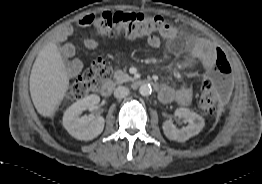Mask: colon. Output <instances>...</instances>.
I'll list each match as a JSON object with an SVG mask.
<instances>
[{"mask_svg":"<svg viewBox=\"0 0 262 184\" xmlns=\"http://www.w3.org/2000/svg\"><path fill=\"white\" fill-rule=\"evenodd\" d=\"M82 26H93L101 37H118L133 40L142 36L159 34L169 25L161 16H148L143 13L103 12L89 14L80 20ZM214 69L216 76L211 81H203L199 87V107L208 115L219 113L226 105L231 90V66L220 49H216ZM108 63L98 58L84 69L71 84L67 98L79 100L98 91L111 76Z\"/></svg>","mask_w":262,"mask_h":184,"instance_id":"colon-1","label":"colon"}]
</instances>
